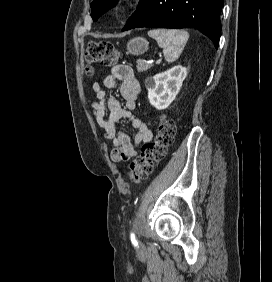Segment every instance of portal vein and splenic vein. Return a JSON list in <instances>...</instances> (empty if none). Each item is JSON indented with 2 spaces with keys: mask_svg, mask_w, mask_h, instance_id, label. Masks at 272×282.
Here are the masks:
<instances>
[{
  "mask_svg": "<svg viewBox=\"0 0 272 282\" xmlns=\"http://www.w3.org/2000/svg\"><path fill=\"white\" fill-rule=\"evenodd\" d=\"M160 62H161V59H157V60L155 61L156 64H160Z\"/></svg>",
  "mask_w": 272,
  "mask_h": 282,
  "instance_id": "obj_1",
  "label": "portal vein and splenic vein"
}]
</instances>
